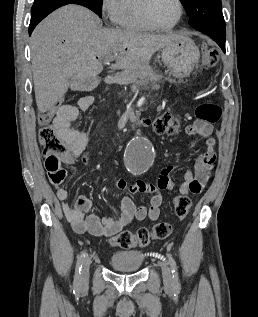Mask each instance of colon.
<instances>
[{
    "mask_svg": "<svg viewBox=\"0 0 258 317\" xmlns=\"http://www.w3.org/2000/svg\"><path fill=\"white\" fill-rule=\"evenodd\" d=\"M216 57L214 52L208 56V64L214 65ZM221 115V109L212 102L201 103L196 109V116L199 120L209 124L215 123ZM54 118L53 113H47L41 117L44 124L39 132V142L46 154L60 157L66 161H72L70 149L57 129L51 124ZM152 127L157 133L175 134L178 130V123L170 113H163L152 122ZM192 201L184 195H178L173 202L176 216L184 220L190 213ZM172 232V226L168 222H159L151 228H139L132 232L124 230L110 238L112 246L122 249L133 247H144L154 240L166 239Z\"/></svg>",
    "mask_w": 258,
    "mask_h": 317,
    "instance_id": "obj_1",
    "label": "colon"
}]
</instances>
